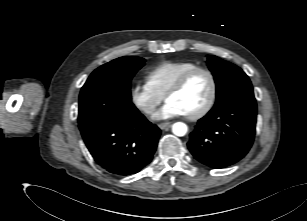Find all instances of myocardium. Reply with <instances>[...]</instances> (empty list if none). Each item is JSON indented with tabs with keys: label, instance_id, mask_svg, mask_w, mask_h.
Listing matches in <instances>:
<instances>
[{
	"label": "myocardium",
	"instance_id": "myocardium-1",
	"mask_svg": "<svg viewBox=\"0 0 307 221\" xmlns=\"http://www.w3.org/2000/svg\"><path fill=\"white\" fill-rule=\"evenodd\" d=\"M198 73H204L209 77L211 83V92L208 101L199 111L193 114L185 115L189 120L201 119L206 116L213 108L218 93V82L215 73L211 69L205 67H196L191 69L180 76L165 94V100H167L171 95L181 91L188 83V81Z\"/></svg>",
	"mask_w": 307,
	"mask_h": 221
}]
</instances>
